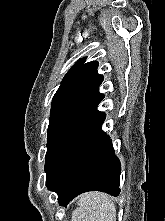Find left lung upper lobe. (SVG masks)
Wrapping results in <instances>:
<instances>
[{"instance_id":"obj_1","label":"left lung upper lobe","mask_w":165,"mask_h":221,"mask_svg":"<svg viewBox=\"0 0 165 221\" xmlns=\"http://www.w3.org/2000/svg\"><path fill=\"white\" fill-rule=\"evenodd\" d=\"M85 59L67 72L52 99L46 158L58 140L104 98L99 92L103 76L97 73L98 62L84 63Z\"/></svg>"}]
</instances>
